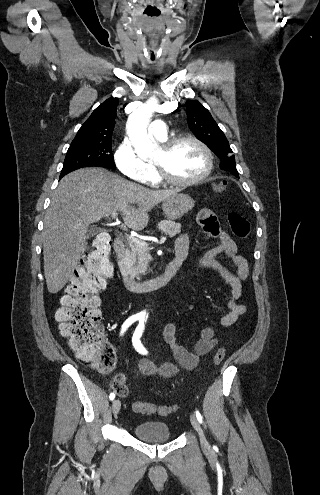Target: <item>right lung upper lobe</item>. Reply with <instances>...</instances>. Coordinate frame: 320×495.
Returning a JSON list of instances; mask_svg holds the SVG:
<instances>
[{
  "label": "right lung upper lobe",
  "mask_w": 320,
  "mask_h": 495,
  "mask_svg": "<svg viewBox=\"0 0 320 495\" xmlns=\"http://www.w3.org/2000/svg\"><path fill=\"white\" fill-rule=\"evenodd\" d=\"M118 98L100 104L81 126L72 144L111 143Z\"/></svg>",
  "instance_id": "cb5924a9"
}]
</instances>
